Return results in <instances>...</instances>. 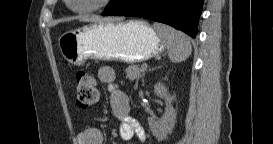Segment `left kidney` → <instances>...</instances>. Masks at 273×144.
<instances>
[{"mask_svg":"<svg viewBox=\"0 0 273 144\" xmlns=\"http://www.w3.org/2000/svg\"><path fill=\"white\" fill-rule=\"evenodd\" d=\"M154 93L165 100L166 108L164 115L160 119L150 117L148 123L152 134L157 139L163 140L172 132L175 125L177 112L172 106L174 96L168 92V89L163 83H157L154 86Z\"/></svg>","mask_w":273,"mask_h":144,"instance_id":"left-kidney-1","label":"left kidney"}]
</instances>
